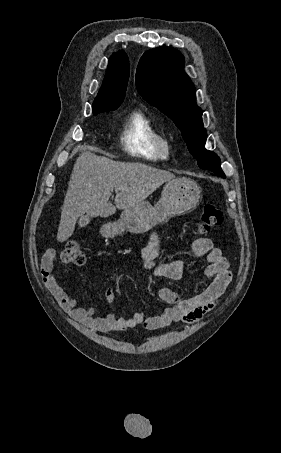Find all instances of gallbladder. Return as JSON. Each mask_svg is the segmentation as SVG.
<instances>
[{
	"label": "gallbladder",
	"instance_id": "bac80fb5",
	"mask_svg": "<svg viewBox=\"0 0 281 453\" xmlns=\"http://www.w3.org/2000/svg\"><path fill=\"white\" fill-rule=\"evenodd\" d=\"M89 224V216H82L81 220L78 223L79 228L84 229Z\"/></svg>",
	"mask_w": 281,
	"mask_h": 453
}]
</instances>
